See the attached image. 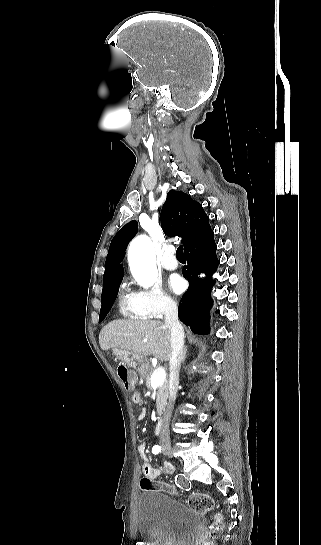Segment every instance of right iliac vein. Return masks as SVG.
Masks as SVG:
<instances>
[{"label": "right iliac vein", "instance_id": "63e3f726", "mask_svg": "<svg viewBox=\"0 0 321 545\" xmlns=\"http://www.w3.org/2000/svg\"><path fill=\"white\" fill-rule=\"evenodd\" d=\"M163 452L165 455L169 456V457H172V450L171 448H168V447H165L163 448Z\"/></svg>", "mask_w": 321, "mask_h": 545}]
</instances>
